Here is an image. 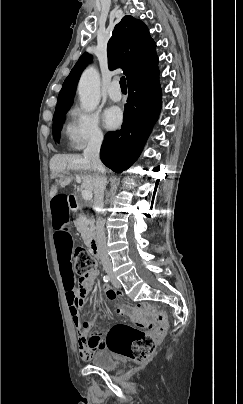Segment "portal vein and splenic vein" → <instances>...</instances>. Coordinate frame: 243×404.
<instances>
[{
	"label": "portal vein and splenic vein",
	"instance_id": "portal-vein-and-splenic-vein-1",
	"mask_svg": "<svg viewBox=\"0 0 243 404\" xmlns=\"http://www.w3.org/2000/svg\"><path fill=\"white\" fill-rule=\"evenodd\" d=\"M76 182H78V184H80L81 180H80L79 176H77ZM82 198H83V200H92V198H93L92 192H90V190H82Z\"/></svg>",
	"mask_w": 243,
	"mask_h": 404
}]
</instances>
